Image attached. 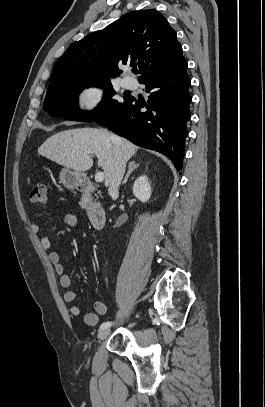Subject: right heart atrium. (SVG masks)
Returning a JSON list of instances; mask_svg holds the SVG:
<instances>
[{
  "label": "right heart atrium",
  "instance_id": "1",
  "mask_svg": "<svg viewBox=\"0 0 265 407\" xmlns=\"http://www.w3.org/2000/svg\"><path fill=\"white\" fill-rule=\"evenodd\" d=\"M105 92L96 84L83 86L76 94V108L84 116H92L100 111L104 104Z\"/></svg>",
  "mask_w": 265,
  "mask_h": 407
}]
</instances>
